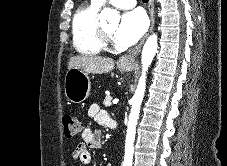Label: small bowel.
<instances>
[{
	"label": "small bowel",
	"instance_id": "c3829d8e",
	"mask_svg": "<svg viewBox=\"0 0 227 166\" xmlns=\"http://www.w3.org/2000/svg\"><path fill=\"white\" fill-rule=\"evenodd\" d=\"M88 116L93 121L108 127H112V119L107 111L101 109L98 104H92L88 109ZM82 140L75 147L73 157L83 166H92L93 155L88 148L97 149L101 146V135L90 125L86 126L81 134Z\"/></svg>",
	"mask_w": 227,
	"mask_h": 166
}]
</instances>
